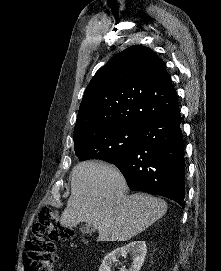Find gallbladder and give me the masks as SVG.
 Returning <instances> with one entry per match:
<instances>
[{
	"label": "gallbladder",
	"instance_id": "gallbladder-1",
	"mask_svg": "<svg viewBox=\"0 0 221 271\" xmlns=\"http://www.w3.org/2000/svg\"><path fill=\"white\" fill-rule=\"evenodd\" d=\"M79 229L82 235H84V233H93V231H96V227H94V225H89V223H84Z\"/></svg>",
	"mask_w": 221,
	"mask_h": 271
}]
</instances>
